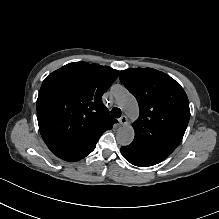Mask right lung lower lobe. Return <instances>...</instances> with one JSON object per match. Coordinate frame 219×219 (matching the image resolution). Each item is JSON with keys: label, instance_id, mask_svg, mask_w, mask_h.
Segmentation results:
<instances>
[{"label": "right lung lower lobe", "instance_id": "1", "mask_svg": "<svg viewBox=\"0 0 219 219\" xmlns=\"http://www.w3.org/2000/svg\"><path fill=\"white\" fill-rule=\"evenodd\" d=\"M88 154H89V153H88ZM88 154L83 155V156H79V157L61 158V159L66 160V161H72V162H74V161H79L80 159L86 157Z\"/></svg>", "mask_w": 219, "mask_h": 219}]
</instances>
